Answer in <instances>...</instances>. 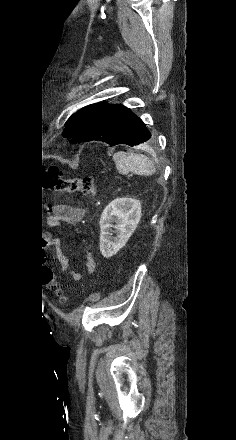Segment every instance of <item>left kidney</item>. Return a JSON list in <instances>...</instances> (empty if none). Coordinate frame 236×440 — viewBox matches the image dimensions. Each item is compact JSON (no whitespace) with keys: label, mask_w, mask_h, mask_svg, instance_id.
Here are the masks:
<instances>
[{"label":"left kidney","mask_w":236,"mask_h":440,"mask_svg":"<svg viewBox=\"0 0 236 440\" xmlns=\"http://www.w3.org/2000/svg\"><path fill=\"white\" fill-rule=\"evenodd\" d=\"M140 218L139 200L122 197L106 206L100 218V251L105 258L112 257L126 245ZM112 233L117 236L112 237Z\"/></svg>","instance_id":"5707ae66"}]
</instances>
